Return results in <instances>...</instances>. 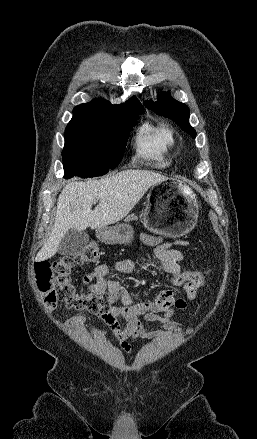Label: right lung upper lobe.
I'll return each instance as SVG.
<instances>
[{
	"label": "right lung upper lobe",
	"instance_id": "cb5924a9",
	"mask_svg": "<svg viewBox=\"0 0 257 439\" xmlns=\"http://www.w3.org/2000/svg\"><path fill=\"white\" fill-rule=\"evenodd\" d=\"M144 107L136 97L120 105H112L104 99H94L89 103L78 105L73 110V117H95L117 120L129 113L143 112Z\"/></svg>",
	"mask_w": 257,
	"mask_h": 439
}]
</instances>
